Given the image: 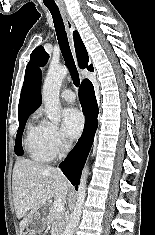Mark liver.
I'll return each instance as SVG.
<instances>
[{
	"label": "liver",
	"instance_id": "1",
	"mask_svg": "<svg viewBox=\"0 0 155 235\" xmlns=\"http://www.w3.org/2000/svg\"><path fill=\"white\" fill-rule=\"evenodd\" d=\"M33 184L42 187H33ZM70 189L71 184L59 170L29 159H18L13 169L12 190L20 235L39 208L53 197L64 200Z\"/></svg>",
	"mask_w": 155,
	"mask_h": 235
}]
</instances>
